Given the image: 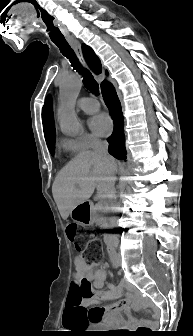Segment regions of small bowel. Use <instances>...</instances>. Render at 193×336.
<instances>
[{"label":"small bowel","mask_w":193,"mask_h":336,"mask_svg":"<svg viewBox=\"0 0 193 336\" xmlns=\"http://www.w3.org/2000/svg\"><path fill=\"white\" fill-rule=\"evenodd\" d=\"M75 273L68 291L67 308L63 325L70 327L76 323L89 325H119L118 313L127 309L134 297L128 294L124 299H119L126 290V282L119 285L106 284V272L95 263H88L80 256L74 260ZM92 286L97 290L90 298L83 297V290ZM107 288V290H105ZM116 300L114 303L100 307L99 301Z\"/></svg>","instance_id":"small-bowel-1"}]
</instances>
